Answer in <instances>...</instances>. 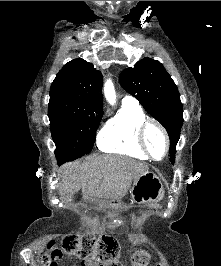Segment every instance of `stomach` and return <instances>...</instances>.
<instances>
[{
  "mask_svg": "<svg viewBox=\"0 0 221 266\" xmlns=\"http://www.w3.org/2000/svg\"><path fill=\"white\" fill-rule=\"evenodd\" d=\"M130 195L135 203H157L164 196V188L160 178L155 173L147 171L134 179Z\"/></svg>",
  "mask_w": 221,
  "mask_h": 266,
  "instance_id": "0dacf381",
  "label": "stomach"
}]
</instances>
